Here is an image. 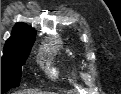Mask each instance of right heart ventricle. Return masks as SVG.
Here are the masks:
<instances>
[{
  "mask_svg": "<svg viewBox=\"0 0 121 94\" xmlns=\"http://www.w3.org/2000/svg\"><path fill=\"white\" fill-rule=\"evenodd\" d=\"M57 50H58L57 52L59 54L63 55L66 58H71L72 57V52L69 49H67V48L58 47ZM51 75L52 76H55L56 75V72L54 70H52L51 71Z\"/></svg>",
  "mask_w": 121,
  "mask_h": 94,
  "instance_id": "obj_1",
  "label": "right heart ventricle"
}]
</instances>
